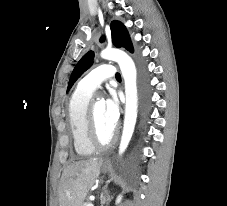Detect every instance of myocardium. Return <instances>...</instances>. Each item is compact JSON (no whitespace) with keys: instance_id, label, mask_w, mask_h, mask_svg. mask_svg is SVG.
<instances>
[{"instance_id":"f54148a6","label":"myocardium","mask_w":227,"mask_h":206,"mask_svg":"<svg viewBox=\"0 0 227 206\" xmlns=\"http://www.w3.org/2000/svg\"><path fill=\"white\" fill-rule=\"evenodd\" d=\"M95 102L92 101L89 104L87 112V136L90 143L99 149H105L110 147L117 139V130L114 129L110 139L108 141H102L98 135L96 117H95Z\"/></svg>"}]
</instances>
